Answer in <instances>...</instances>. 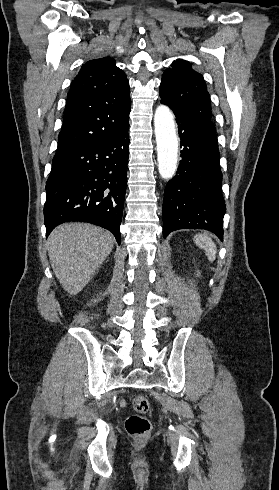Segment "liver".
Listing matches in <instances>:
<instances>
[{"label":"liver","mask_w":279,"mask_h":490,"mask_svg":"<svg viewBox=\"0 0 279 490\" xmlns=\"http://www.w3.org/2000/svg\"><path fill=\"white\" fill-rule=\"evenodd\" d=\"M114 236L91 224H62L48 238L53 272L70 296L79 294L113 250Z\"/></svg>","instance_id":"obj_1"}]
</instances>
